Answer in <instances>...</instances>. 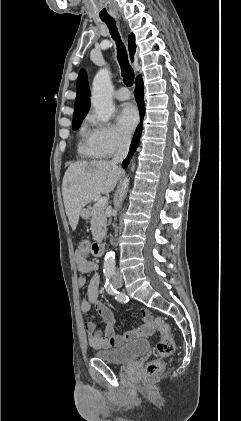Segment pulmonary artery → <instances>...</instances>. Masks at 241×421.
Instances as JSON below:
<instances>
[{
    "label": "pulmonary artery",
    "instance_id": "obj_1",
    "mask_svg": "<svg viewBox=\"0 0 241 421\" xmlns=\"http://www.w3.org/2000/svg\"><path fill=\"white\" fill-rule=\"evenodd\" d=\"M115 97L120 101H124L130 98V93L127 88L121 87L115 93Z\"/></svg>",
    "mask_w": 241,
    "mask_h": 421
}]
</instances>
